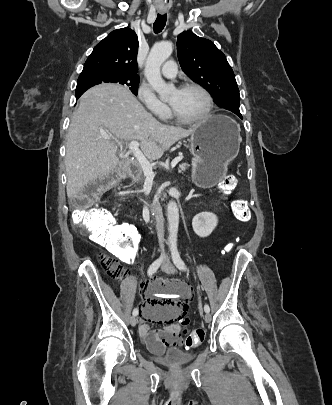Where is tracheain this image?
I'll return each mask as SVG.
<instances>
[{
	"instance_id": "obj_1",
	"label": "trachea",
	"mask_w": 332,
	"mask_h": 405,
	"mask_svg": "<svg viewBox=\"0 0 332 405\" xmlns=\"http://www.w3.org/2000/svg\"><path fill=\"white\" fill-rule=\"evenodd\" d=\"M166 21H167V14H158L153 25L154 32L160 33L164 29Z\"/></svg>"
}]
</instances>
